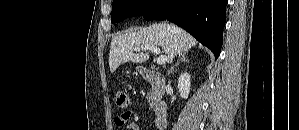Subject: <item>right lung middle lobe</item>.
Here are the masks:
<instances>
[{"instance_id": "1", "label": "right lung middle lobe", "mask_w": 299, "mask_h": 130, "mask_svg": "<svg viewBox=\"0 0 299 130\" xmlns=\"http://www.w3.org/2000/svg\"><path fill=\"white\" fill-rule=\"evenodd\" d=\"M158 0H113L111 22L144 15Z\"/></svg>"}]
</instances>
